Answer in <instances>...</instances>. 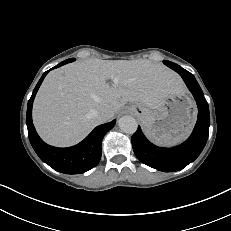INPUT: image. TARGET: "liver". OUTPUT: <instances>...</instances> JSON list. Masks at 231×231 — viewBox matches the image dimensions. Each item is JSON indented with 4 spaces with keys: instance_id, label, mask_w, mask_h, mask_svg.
Masks as SVG:
<instances>
[{
    "instance_id": "obj_1",
    "label": "liver",
    "mask_w": 231,
    "mask_h": 231,
    "mask_svg": "<svg viewBox=\"0 0 231 231\" xmlns=\"http://www.w3.org/2000/svg\"><path fill=\"white\" fill-rule=\"evenodd\" d=\"M181 91L176 74L161 63L89 59L46 76L34 101L33 122L45 142L71 146L101 124L100 111L113 117L126 102L154 109L167 94Z\"/></svg>"
}]
</instances>
